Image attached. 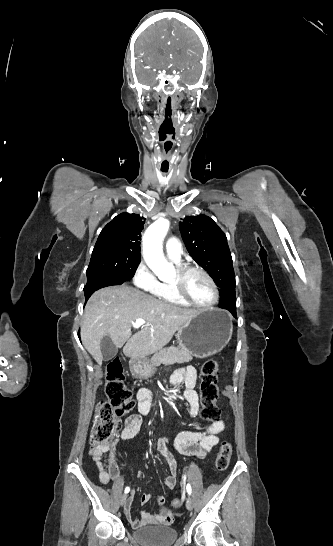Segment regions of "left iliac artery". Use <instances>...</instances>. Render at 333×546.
<instances>
[{"label": "left iliac artery", "mask_w": 333, "mask_h": 546, "mask_svg": "<svg viewBox=\"0 0 333 546\" xmlns=\"http://www.w3.org/2000/svg\"><path fill=\"white\" fill-rule=\"evenodd\" d=\"M186 490H187L188 494L191 495L192 489H191V485L189 483L186 486Z\"/></svg>", "instance_id": "left-iliac-artery-1"}]
</instances>
